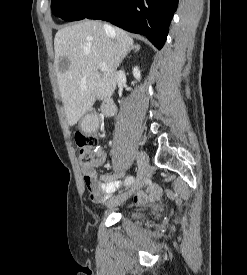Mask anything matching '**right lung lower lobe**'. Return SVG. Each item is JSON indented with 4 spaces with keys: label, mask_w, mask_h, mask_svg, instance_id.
I'll use <instances>...</instances> for the list:
<instances>
[{
    "label": "right lung lower lobe",
    "mask_w": 247,
    "mask_h": 275,
    "mask_svg": "<svg viewBox=\"0 0 247 275\" xmlns=\"http://www.w3.org/2000/svg\"><path fill=\"white\" fill-rule=\"evenodd\" d=\"M177 4L178 0H105L85 18L109 21L144 35L161 49Z\"/></svg>",
    "instance_id": "obj_1"
}]
</instances>
